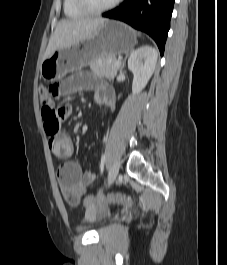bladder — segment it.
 <instances>
[{
  "instance_id": "31cf9c89",
  "label": "bladder",
  "mask_w": 227,
  "mask_h": 265,
  "mask_svg": "<svg viewBox=\"0 0 227 265\" xmlns=\"http://www.w3.org/2000/svg\"><path fill=\"white\" fill-rule=\"evenodd\" d=\"M100 228V225H98L97 227H96V229L98 230Z\"/></svg>"
}]
</instances>
